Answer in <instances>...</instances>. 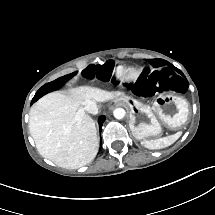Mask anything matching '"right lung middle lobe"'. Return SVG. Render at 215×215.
Here are the masks:
<instances>
[{
  "instance_id": "right-lung-middle-lobe-1",
  "label": "right lung middle lobe",
  "mask_w": 215,
  "mask_h": 215,
  "mask_svg": "<svg viewBox=\"0 0 215 215\" xmlns=\"http://www.w3.org/2000/svg\"><path fill=\"white\" fill-rule=\"evenodd\" d=\"M76 74V72L65 75L63 77H60L50 83H47L45 85H43L35 94V96L33 97V101H37L39 98H41L43 95L54 91L56 89H58L59 87H61L67 80H69L70 78H72L74 75Z\"/></svg>"
}]
</instances>
